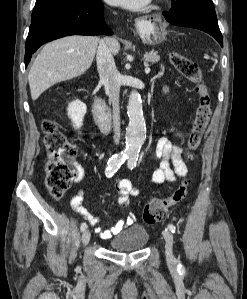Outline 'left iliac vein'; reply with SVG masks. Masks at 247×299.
I'll use <instances>...</instances> for the list:
<instances>
[{"label": "left iliac vein", "instance_id": "obj_1", "mask_svg": "<svg viewBox=\"0 0 247 299\" xmlns=\"http://www.w3.org/2000/svg\"><path fill=\"white\" fill-rule=\"evenodd\" d=\"M163 237L165 239L166 259L172 264L175 262V257L173 255V235L169 230H164Z\"/></svg>", "mask_w": 247, "mask_h": 299}]
</instances>
